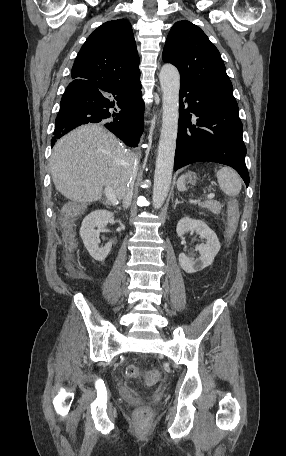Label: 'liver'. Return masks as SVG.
Listing matches in <instances>:
<instances>
[{
  "instance_id": "6515ba94",
  "label": "liver",
  "mask_w": 286,
  "mask_h": 456,
  "mask_svg": "<svg viewBox=\"0 0 286 456\" xmlns=\"http://www.w3.org/2000/svg\"><path fill=\"white\" fill-rule=\"evenodd\" d=\"M133 166V153L113 134L94 124L79 127L60 139L50 158L56 189L78 203L98 201L103 187L111 188L116 199H122Z\"/></svg>"
}]
</instances>
